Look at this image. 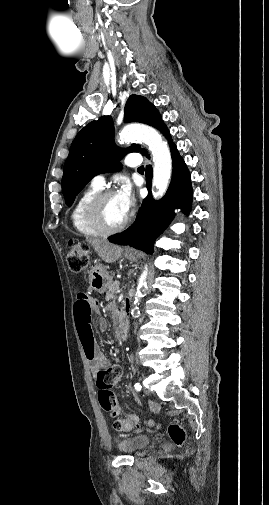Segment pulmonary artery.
<instances>
[{"instance_id": "pulmonary-artery-1", "label": "pulmonary artery", "mask_w": 269, "mask_h": 505, "mask_svg": "<svg viewBox=\"0 0 269 505\" xmlns=\"http://www.w3.org/2000/svg\"><path fill=\"white\" fill-rule=\"evenodd\" d=\"M125 164L130 167H136L139 166L141 163V157L138 154H129L126 156L124 160ZM106 179L104 174H98L93 177L92 179V184L99 187L103 188L105 185Z\"/></svg>"}]
</instances>
